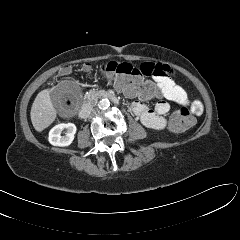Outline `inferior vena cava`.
Returning a JSON list of instances; mask_svg holds the SVG:
<instances>
[{
    "instance_id": "1",
    "label": "inferior vena cava",
    "mask_w": 240,
    "mask_h": 240,
    "mask_svg": "<svg viewBox=\"0 0 240 240\" xmlns=\"http://www.w3.org/2000/svg\"><path fill=\"white\" fill-rule=\"evenodd\" d=\"M92 112H93V109L90 106L84 107L81 111V115L82 117L87 118L90 116Z\"/></svg>"
}]
</instances>
